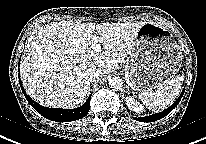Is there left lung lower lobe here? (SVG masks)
Wrapping results in <instances>:
<instances>
[{
	"label": "left lung lower lobe",
	"mask_w": 206,
	"mask_h": 144,
	"mask_svg": "<svg viewBox=\"0 0 206 144\" xmlns=\"http://www.w3.org/2000/svg\"><path fill=\"white\" fill-rule=\"evenodd\" d=\"M184 91L185 90H183L180 97L169 108H167L163 112H159V113H156V114H153V115H150V116H146V117H142V118H134V119H136L137 121H140V122H153V121H157V120L165 117L167 114H169L178 105V103L181 100V97L184 94Z\"/></svg>",
	"instance_id": "obj_1"
}]
</instances>
